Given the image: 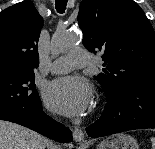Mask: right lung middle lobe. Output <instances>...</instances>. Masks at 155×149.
<instances>
[{"instance_id": "dd1d6c3e", "label": "right lung middle lobe", "mask_w": 155, "mask_h": 149, "mask_svg": "<svg viewBox=\"0 0 155 149\" xmlns=\"http://www.w3.org/2000/svg\"><path fill=\"white\" fill-rule=\"evenodd\" d=\"M34 72L0 69V113L28 116L40 104Z\"/></svg>"}]
</instances>
